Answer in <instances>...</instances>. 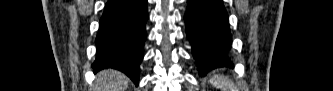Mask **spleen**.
I'll use <instances>...</instances> for the list:
<instances>
[{
  "instance_id": "spleen-1",
  "label": "spleen",
  "mask_w": 333,
  "mask_h": 91,
  "mask_svg": "<svg viewBox=\"0 0 333 91\" xmlns=\"http://www.w3.org/2000/svg\"><path fill=\"white\" fill-rule=\"evenodd\" d=\"M210 83L222 91H234V84L227 77L215 75L211 77Z\"/></svg>"
}]
</instances>
